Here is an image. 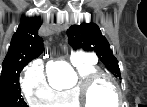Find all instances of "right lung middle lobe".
<instances>
[{"instance_id":"obj_1","label":"right lung middle lobe","mask_w":147,"mask_h":107,"mask_svg":"<svg viewBox=\"0 0 147 107\" xmlns=\"http://www.w3.org/2000/svg\"><path fill=\"white\" fill-rule=\"evenodd\" d=\"M28 63L29 62L22 64V68L18 72H11L1 76L0 107H28L21 98L19 85L20 72Z\"/></svg>"}]
</instances>
